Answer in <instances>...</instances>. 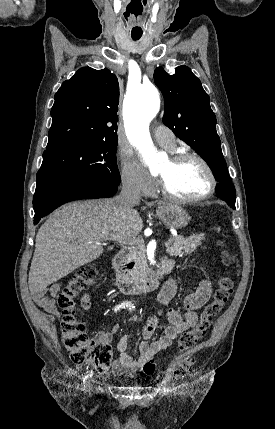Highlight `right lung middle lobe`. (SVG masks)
Returning <instances> with one entry per match:
<instances>
[{"mask_svg":"<svg viewBox=\"0 0 275 429\" xmlns=\"http://www.w3.org/2000/svg\"><path fill=\"white\" fill-rule=\"evenodd\" d=\"M117 139L92 144H69L45 151L37 173L36 191L71 179L93 178L120 184L116 163Z\"/></svg>","mask_w":275,"mask_h":429,"instance_id":"1","label":"right lung middle lobe"}]
</instances>
